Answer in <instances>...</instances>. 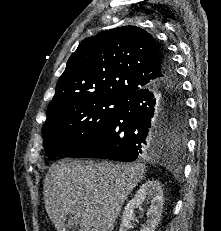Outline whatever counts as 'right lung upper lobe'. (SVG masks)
Returning <instances> with one entry per match:
<instances>
[{"mask_svg": "<svg viewBox=\"0 0 221 231\" xmlns=\"http://www.w3.org/2000/svg\"><path fill=\"white\" fill-rule=\"evenodd\" d=\"M164 52L144 29L123 26L84 39L68 59L47 116L90 96L126 99L159 83Z\"/></svg>", "mask_w": 221, "mask_h": 231, "instance_id": "1", "label": "right lung upper lobe"}]
</instances>
